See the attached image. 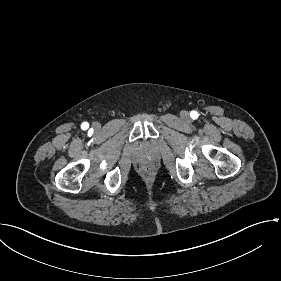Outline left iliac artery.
Returning <instances> with one entry per match:
<instances>
[{"label":"left iliac artery","mask_w":281,"mask_h":281,"mask_svg":"<svg viewBox=\"0 0 281 281\" xmlns=\"http://www.w3.org/2000/svg\"><path fill=\"white\" fill-rule=\"evenodd\" d=\"M198 117V113L196 111L191 112V118L196 119Z\"/></svg>","instance_id":"left-iliac-artery-1"}]
</instances>
